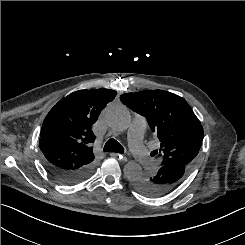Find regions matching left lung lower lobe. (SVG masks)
<instances>
[{"mask_svg":"<svg viewBox=\"0 0 245 245\" xmlns=\"http://www.w3.org/2000/svg\"><path fill=\"white\" fill-rule=\"evenodd\" d=\"M189 166L181 163L161 165L157 173L130 178V189L150 197H161L175 190L186 178Z\"/></svg>","mask_w":245,"mask_h":245,"instance_id":"1","label":"left lung lower lobe"}]
</instances>
